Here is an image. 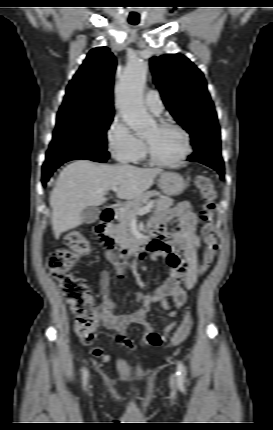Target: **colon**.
Instances as JSON below:
<instances>
[{
  "instance_id": "1",
  "label": "colon",
  "mask_w": 273,
  "mask_h": 430,
  "mask_svg": "<svg viewBox=\"0 0 273 430\" xmlns=\"http://www.w3.org/2000/svg\"><path fill=\"white\" fill-rule=\"evenodd\" d=\"M195 185L201 193L203 205L201 218L203 220L202 236L206 244L199 273H205L212 265L218 251V242L213 223L215 214L216 192L209 177L198 175ZM63 248H56L50 252L47 267L52 277L61 288L66 302L70 305L74 319V330L81 341L90 345L95 338L98 326V310L91 296L89 286L85 279L76 276L72 267L78 259L89 253L88 240L78 232H69L64 236ZM193 324L192 316L187 312L182 326L177 329L170 340V346H178L189 334ZM153 384L149 385L151 390Z\"/></svg>"
}]
</instances>
